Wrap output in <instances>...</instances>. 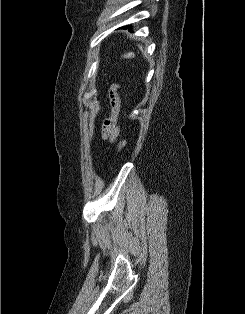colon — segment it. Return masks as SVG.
I'll return each instance as SVG.
<instances>
[{"label":"colon","instance_id":"obj_1","mask_svg":"<svg viewBox=\"0 0 245 314\" xmlns=\"http://www.w3.org/2000/svg\"><path fill=\"white\" fill-rule=\"evenodd\" d=\"M125 145H126V140H122L119 143L117 150L120 151Z\"/></svg>","mask_w":245,"mask_h":314}]
</instances>
